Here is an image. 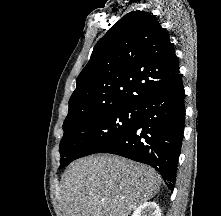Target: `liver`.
<instances>
[{
    "label": "liver",
    "mask_w": 221,
    "mask_h": 216,
    "mask_svg": "<svg viewBox=\"0 0 221 216\" xmlns=\"http://www.w3.org/2000/svg\"><path fill=\"white\" fill-rule=\"evenodd\" d=\"M161 181L153 168L116 155L79 159L61 177L64 216H128Z\"/></svg>",
    "instance_id": "liver-1"
}]
</instances>
